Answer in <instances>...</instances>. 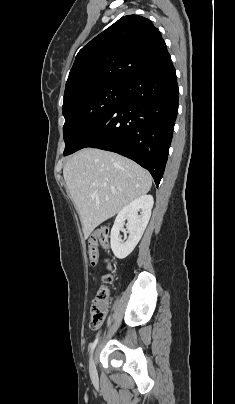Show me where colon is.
<instances>
[{
	"instance_id": "obj_1",
	"label": "colon",
	"mask_w": 235,
	"mask_h": 404,
	"mask_svg": "<svg viewBox=\"0 0 235 404\" xmlns=\"http://www.w3.org/2000/svg\"><path fill=\"white\" fill-rule=\"evenodd\" d=\"M110 245V236L108 229H99L92 233L88 240V256L92 265L98 261L99 253L98 247L107 248ZM112 275L107 274L104 277L106 283L111 282ZM110 290L108 287L103 286L99 289L97 296L90 308V327L92 329H99L106 317L108 302L110 300Z\"/></svg>"
}]
</instances>
